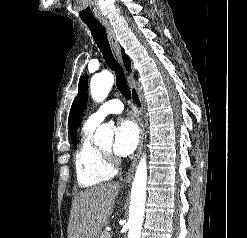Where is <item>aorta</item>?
I'll list each match as a JSON object with an SVG mask.
<instances>
[{
  "instance_id": "aorta-1",
  "label": "aorta",
  "mask_w": 247,
  "mask_h": 238,
  "mask_svg": "<svg viewBox=\"0 0 247 238\" xmlns=\"http://www.w3.org/2000/svg\"><path fill=\"white\" fill-rule=\"evenodd\" d=\"M114 83V77L106 72L94 76L91 79L90 89L93 99L102 102L109 94ZM113 130L110 125L102 124L95 132L96 144L112 142ZM147 163L143 155L135 172L131 189V201L129 207L128 238H140L146 203Z\"/></svg>"
}]
</instances>
